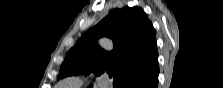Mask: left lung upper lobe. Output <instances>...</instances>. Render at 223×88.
<instances>
[{
	"label": "left lung upper lobe",
	"instance_id": "obj_1",
	"mask_svg": "<svg viewBox=\"0 0 223 88\" xmlns=\"http://www.w3.org/2000/svg\"><path fill=\"white\" fill-rule=\"evenodd\" d=\"M156 32L140 7L112 10L86 32L67 54L59 78L94 72L107 73L114 88H122L158 58ZM111 38L114 50L105 52L97 44L100 37ZM92 88V86H89Z\"/></svg>",
	"mask_w": 223,
	"mask_h": 88
}]
</instances>
